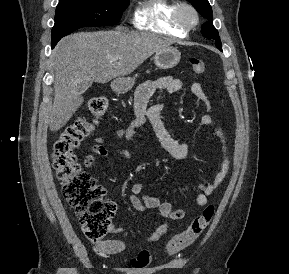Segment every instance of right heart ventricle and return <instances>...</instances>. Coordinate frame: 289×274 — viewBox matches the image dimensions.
<instances>
[{
  "label": "right heart ventricle",
  "mask_w": 289,
  "mask_h": 274,
  "mask_svg": "<svg viewBox=\"0 0 289 274\" xmlns=\"http://www.w3.org/2000/svg\"><path fill=\"white\" fill-rule=\"evenodd\" d=\"M173 0H142L134 11L133 22L137 29L175 37H184L186 31L172 20L176 6Z\"/></svg>",
  "instance_id": "obj_1"
}]
</instances>
